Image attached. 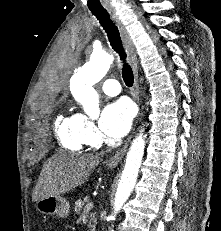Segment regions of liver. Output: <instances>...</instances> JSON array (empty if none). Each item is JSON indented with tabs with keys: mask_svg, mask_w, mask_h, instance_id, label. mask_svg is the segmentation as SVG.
<instances>
[{
	"mask_svg": "<svg viewBox=\"0 0 221 231\" xmlns=\"http://www.w3.org/2000/svg\"><path fill=\"white\" fill-rule=\"evenodd\" d=\"M99 163L100 157L91 154L65 151L54 154L42 168L33 190L32 201L60 196L81 186Z\"/></svg>",
	"mask_w": 221,
	"mask_h": 231,
	"instance_id": "liver-1",
	"label": "liver"
}]
</instances>
